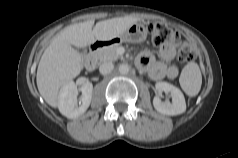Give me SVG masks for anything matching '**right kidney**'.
Returning a JSON list of instances; mask_svg holds the SVG:
<instances>
[{
    "label": "right kidney",
    "instance_id": "obj_1",
    "mask_svg": "<svg viewBox=\"0 0 238 158\" xmlns=\"http://www.w3.org/2000/svg\"><path fill=\"white\" fill-rule=\"evenodd\" d=\"M81 91L79 103L78 92ZM93 85L90 82L84 83L80 89L73 81L67 82L60 90L58 96V108L62 115L69 119L77 118L85 113L92 99Z\"/></svg>",
    "mask_w": 238,
    "mask_h": 158
}]
</instances>
